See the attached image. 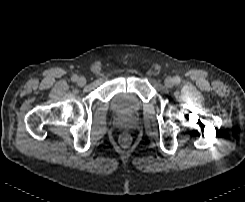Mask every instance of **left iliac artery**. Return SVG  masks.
Masks as SVG:
<instances>
[{
  "label": "left iliac artery",
  "mask_w": 245,
  "mask_h": 202,
  "mask_svg": "<svg viewBox=\"0 0 245 202\" xmlns=\"http://www.w3.org/2000/svg\"><path fill=\"white\" fill-rule=\"evenodd\" d=\"M174 81H175V83H180V78L178 77V76H176L175 78H174Z\"/></svg>",
  "instance_id": "1"
}]
</instances>
